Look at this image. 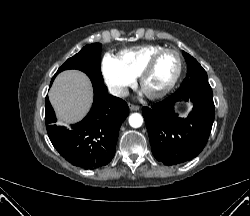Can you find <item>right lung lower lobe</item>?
I'll use <instances>...</instances> for the list:
<instances>
[{
  "mask_svg": "<svg viewBox=\"0 0 250 216\" xmlns=\"http://www.w3.org/2000/svg\"><path fill=\"white\" fill-rule=\"evenodd\" d=\"M92 85L93 106L70 129L55 125L57 120L48 97L45 102L46 127L53 146L71 164L84 169L99 168L112 160L120 126L129 114L127 103L107 94L104 83Z\"/></svg>",
  "mask_w": 250,
  "mask_h": 216,
  "instance_id": "1",
  "label": "right lung lower lobe"
}]
</instances>
